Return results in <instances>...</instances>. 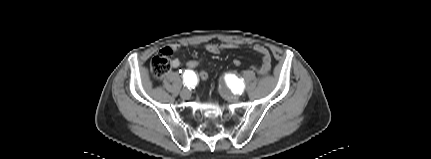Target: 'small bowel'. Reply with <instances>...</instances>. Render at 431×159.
Returning <instances> with one entry per match:
<instances>
[{
  "mask_svg": "<svg viewBox=\"0 0 431 159\" xmlns=\"http://www.w3.org/2000/svg\"><path fill=\"white\" fill-rule=\"evenodd\" d=\"M240 46L241 44L236 42L210 43L206 45V50L207 52L212 54H219L223 50L239 48ZM177 48H178L177 45L170 46V50H176ZM252 48L255 52L260 54L262 58L261 64L259 66H256L255 70L259 74H266L271 67V56L269 54V51L265 47L258 44L254 45ZM180 65H181V61L178 58L172 59L171 66L173 68H178Z\"/></svg>",
  "mask_w": 431,
  "mask_h": 159,
  "instance_id": "c3829d8e",
  "label": "small bowel"
}]
</instances>
